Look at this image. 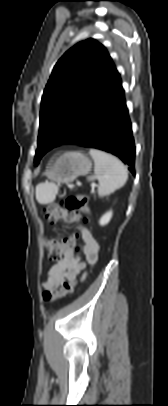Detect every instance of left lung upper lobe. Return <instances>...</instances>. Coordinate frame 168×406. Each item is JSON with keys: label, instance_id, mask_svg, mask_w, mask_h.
<instances>
[{"label": "left lung upper lobe", "instance_id": "obj_1", "mask_svg": "<svg viewBox=\"0 0 168 406\" xmlns=\"http://www.w3.org/2000/svg\"><path fill=\"white\" fill-rule=\"evenodd\" d=\"M117 74L105 47L94 39L79 42L59 59L42 96L36 165L80 130Z\"/></svg>", "mask_w": 168, "mask_h": 406}]
</instances>
